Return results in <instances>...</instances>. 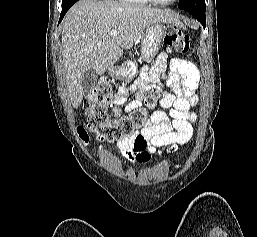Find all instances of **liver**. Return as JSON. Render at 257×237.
<instances>
[{
    "mask_svg": "<svg viewBox=\"0 0 257 237\" xmlns=\"http://www.w3.org/2000/svg\"><path fill=\"white\" fill-rule=\"evenodd\" d=\"M154 22L178 23L168 11L121 3L114 0H80L62 22V55L72 106L77 108L84 96L83 74L94 69L99 75L113 66ZM118 30L112 37L110 32Z\"/></svg>",
    "mask_w": 257,
    "mask_h": 237,
    "instance_id": "1",
    "label": "liver"
}]
</instances>
